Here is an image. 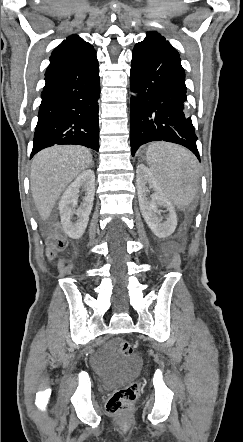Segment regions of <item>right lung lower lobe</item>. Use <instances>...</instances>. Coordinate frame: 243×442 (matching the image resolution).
Here are the masks:
<instances>
[{
    "instance_id": "98d812e1",
    "label": "right lung lower lobe",
    "mask_w": 243,
    "mask_h": 442,
    "mask_svg": "<svg viewBox=\"0 0 243 442\" xmlns=\"http://www.w3.org/2000/svg\"><path fill=\"white\" fill-rule=\"evenodd\" d=\"M46 84L33 139V157L55 144L99 150V66L96 52L46 70Z\"/></svg>"
}]
</instances>
